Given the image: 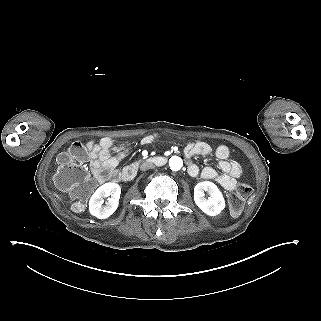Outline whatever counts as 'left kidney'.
I'll list each match as a JSON object with an SVG mask.
<instances>
[{
  "instance_id": "1",
  "label": "left kidney",
  "mask_w": 321,
  "mask_h": 321,
  "mask_svg": "<svg viewBox=\"0 0 321 321\" xmlns=\"http://www.w3.org/2000/svg\"><path fill=\"white\" fill-rule=\"evenodd\" d=\"M206 191L210 194L208 199L204 197ZM194 201L198 208L208 216L221 214L226 206L223 193L211 181H202L195 186Z\"/></svg>"
}]
</instances>
